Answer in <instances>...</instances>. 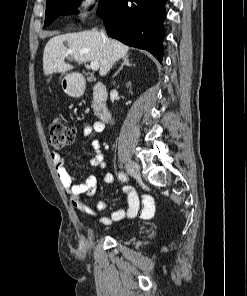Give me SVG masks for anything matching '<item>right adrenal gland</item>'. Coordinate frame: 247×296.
Masks as SVG:
<instances>
[{
    "label": "right adrenal gland",
    "instance_id": "2a0ac1e0",
    "mask_svg": "<svg viewBox=\"0 0 247 296\" xmlns=\"http://www.w3.org/2000/svg\"><path fill=\"white\" fill-rule=\"evenodd\" d=\"M132 66V64L129 62V55H125L123 57V63L121 64L120 68L118 71L113 75V78L116 77V75L123 69L124 66Z\"/></svg>",
    "mask_w": 247,
    "mask_h": 296
}]
</instances>
